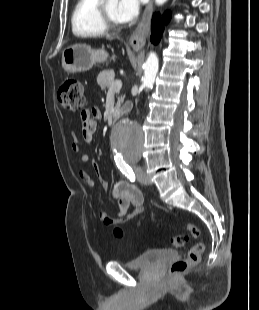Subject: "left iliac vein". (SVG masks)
<instances>
[{
    "label": "left iliac vein",
    "instance_id": "4c4485c4",
    "mask_svg": "<svg viewBox=\"0 0 259 310\" xmlns=\"http://www.w3.org/2000/svg\"><path fill=\"white\" fill-rule=\"evenodd\" d=\"M134 171H135V174H136L137 179L139 180V182H141L142 184H145V185H149L150 184V180H149V178H148V176L145 173L143 168L135 167Z\"/></svg>",
    "mask_w": 259,
    "mask_h": 310
}]
</instances>
